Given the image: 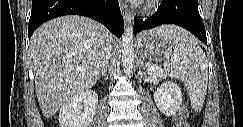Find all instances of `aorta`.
Wrapping results in <instances>:
<instances>
[{"label":"aorta","instance_id":"1","mask_svg":"<svg viewBox=\"0 0 243 127\" xmlns=\"http://www.w3.org/2000/svg\"><path fill=\"white\" fill-rule=\"evenodd\" d=\"M121 52L123 71L129 75L134 66V34L131 23L124 29Z\"/></svg>","mask_w":243,"mask_h":127}]
</instances>
